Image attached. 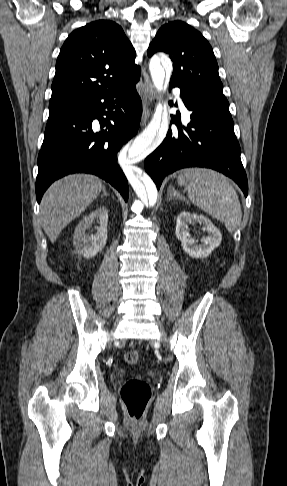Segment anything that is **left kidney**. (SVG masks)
<instances>
[{"mask_svg":"<svg viewBox=\"0 0 287 486\" xmlns=\"http://www.w3.org/2000/svg\"><path fill=\"white\" fill-rule=\"evenodd\" d=\"M202 223L209 235L201 239V244L197 245L194 239L189 237L188 224ZM176 237L181 241L182 248L193 258H204L209 256L217 248L221 241L220 231L212 222L203 215H197L186 211L181 212L176 221Z\"/></svg>","mask_w":287,"mask_h":486,"instance_id":"left-kidney-1","label":"left kidney"}]
</instances>
